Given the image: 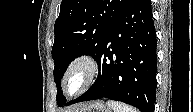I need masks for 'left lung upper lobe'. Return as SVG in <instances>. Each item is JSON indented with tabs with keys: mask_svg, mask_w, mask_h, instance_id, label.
I'll return each mask as SVG.
<instances>
[{
	"mask_svg": "<svg viewBox=\"0 0 193 112\" xmlns=\"http://www.w3.org/2000/svg\"><path fill=\"white\" fill-rule=\"evenodd\" d=\"M133 0H62L54 25L52 47L57 104L67 103L61 90V78L68 65L81 55H98L105 38Z\"/></svg>",
	"mask_w": 193,
	"mask_h": 112,
	"instance_id": "5c2ea615",
	"label": "left lung upper lobe"
}]
</instances>
